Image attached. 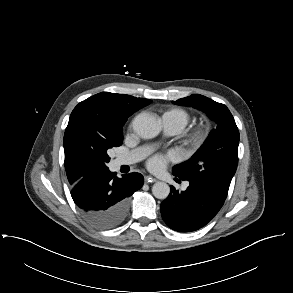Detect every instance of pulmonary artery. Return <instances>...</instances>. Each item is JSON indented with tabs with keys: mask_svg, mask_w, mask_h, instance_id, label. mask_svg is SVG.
<instances>
[{
	"mask_svg": "<svg viewBox=\"0 0 293 293\" xmlns=\"http://www.w3.org/2000/svg\"><path fill=\"white\" fill-rule=\"evenodd\" d=\"M162 125L164 127L165 133L168 135H175L179 133L178 129L175 127L172 119L168 116H164L161 118ZM152 147L148 145H143L138 147L137 149L131 151L126 156L118 157L115 160V166L119 167L121 165L132 164L142 160L150 151ZM188 182L183 184V188L186 189L188 187Z\"/></svg>",
	"mask_w": 293,
	"mask_h": 293,
	"instance_id": "obj_1",
	"label": "pulmonary artery"
}]
</instances>
